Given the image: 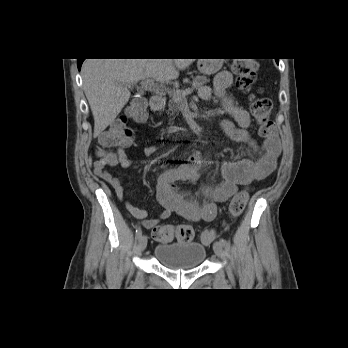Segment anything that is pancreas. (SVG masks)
I'll return each mask as SVG.
<instances>
[{
    "mask_svg": "<svg viewBox=\"0 0 348 348\" xmlns=\"http://www.w3.org/2000/svg\"><path fill=\"white\" fill-rule=\"evenodd\" d=\"M209 82V79H207L206 76L197 75L196 77H192V87L194 89H198L203 87L205 84ZM179 91H184L183 89ZM185 101V98H182L181 100L177 101L176 97L172 95L171 99L168 103V111L170 112L171 116L177 115L181 110V104ZM177 128V127H174Z\"/></svg>",
    "mask_w": 348,
    "mask_h": 348,
    "instance_id": "cf45deb5",
    "label": "pancreas"
}]
</instances>
